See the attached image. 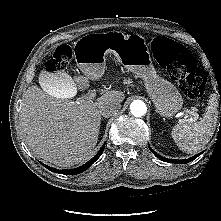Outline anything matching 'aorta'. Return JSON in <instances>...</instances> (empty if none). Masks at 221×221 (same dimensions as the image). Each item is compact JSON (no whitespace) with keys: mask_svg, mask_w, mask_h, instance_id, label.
I'll use <instances>...</instances> for the list:
<instances>
[{"mask_svg":"<svg viewBox=\"0 0 221 221\" xmlns=\"http://www.w3.org/2000/svg\"><path fill=\"white\" fill-rule=\"evenodd\" d=\"M131 114L135 117H141L146 114L147 106L141 100H135L130 105Z\"/></svg>","mask_w":221,"mask_h":221,"instance_id":"obj_1","label":"aorta"}]
</instances>
